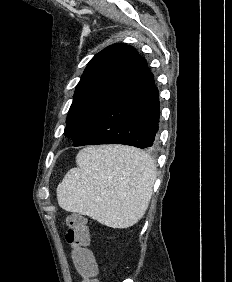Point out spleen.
<instances>
[{
	"label": "spleen",
	"instance_id": "3e777b00",
	"mask_svg": "<svg viewBox=\"0 0 232 282\" xmlns=\"http://www.w3.org/2000/svg\"><path fill=\"white\" fill-rule=\"evenodd\" d=\"M76 164L57 187L62 209L113 228H128L143 217L156 179V165L147 153L91 146L77 154Z\"/></svg>",
	"mask_w": 232,
	"mask_h": 282
}]
</instances>
